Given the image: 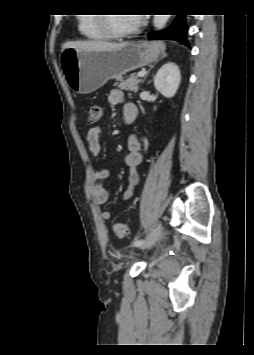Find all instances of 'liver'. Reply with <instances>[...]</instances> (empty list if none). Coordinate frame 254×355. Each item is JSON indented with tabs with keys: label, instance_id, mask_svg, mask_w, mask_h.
Instances as JSON below:
<instances>
[{
	"label": "liver",
	"instance_id": "liver-1",
	"mask_svg": "<svg viewBox=\"0 0 254 355\" xmlns=\"http://www.w3.org/2000/svg\"><path fill=\"white\" fill-rule=\"evenodd\" d=\"M125 43H112L107 41L85 40L66 42L62 46V50L66 48H74L79 51H98L109 50L122 47Z\"/></svg>",
	"mask_w": 254,
	"mask_h": 355
}]
</instances>
